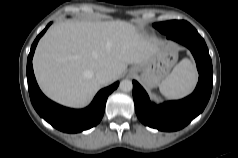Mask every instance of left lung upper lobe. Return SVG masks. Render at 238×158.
<instances>
[{"label": "left lung upper lobe", "instance_id": "obj_1", "mask_svg": "<svg viewBox=\"0 0 238 158\" xmlns=\"http://www.w3.org/2000/svg\"><path fill=\"white\" fill-rule=\"evenodd\" d=\"M189 23L186 21H177V20H173V21H167V22H161V23H155L153 26L155 28H157L161 33L163 34H168L170 33L172 30L176 29V28H180L183 26L188 25Z\"/></svg>", "mask_w": 238, "mask_h": 158}]
</instances>
